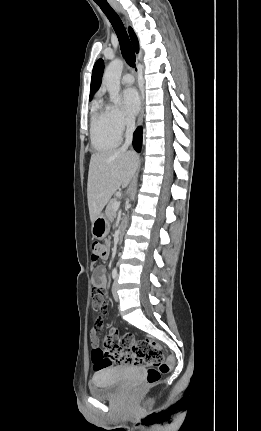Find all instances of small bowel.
<instances>
[{"label": "small bowel", "mask_w": 261, "mask_h": 431, "mask_svg": "<svg viewBox=\"0 0 261 431\" xmlns=\"http://www.w3.org/2000/svg\"><path fill=\"white\" fill-rule=\"evenodd\" d=\"M107 257V255L105 256ZM108 278L106 269L103 266H96L93 268V275H92V283H93V289L91 291L90 300H91V306L92 310L94 311L95 315H97V319L92 324V327L94 330H92L89 333V336L91 337L92 345L95 346V349H98V338L102 334V327L103 322L106 320V317L103 315L106 310V299H105V291L104 289L107 286ZM111 335H117L118 330L116 328H112L110 330ZM112 361L116 364H122L123 361L118 360L114 357H111ZM94 362V358H93Z\"/></svg>", "instance_id": "c3829d8e"}]
</instances>
